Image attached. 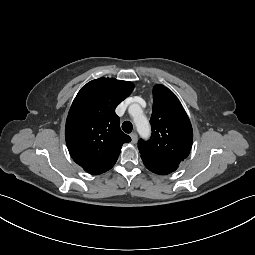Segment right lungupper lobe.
<instances>
[{
  "instance_id": "cb5924a9",
  "label": "right lung upper lobe",
  "mask_w": 255,
  "mask_h": 255,
  "mask_svg": "<svg viewBox=\"0 0 255 255\" xmlns=\"http://www.w3.org/2000/svg\"><path fill=\"white\" fill-rule=\"evenodd\" d=\"M134 89L128 81L99 78L81 88L66 120L65 138L73 160L89 174H101L116 163L131 138L120 129L115 108Z\"/></svg>"
}]
</instances>
